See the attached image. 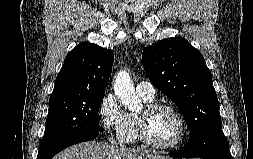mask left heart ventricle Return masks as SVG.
Segmentation results:
<instances>
[{
	"mask_svg": "<svg viewBox=\"0 0 253 159\" xmlns=\"http://www.w3.org/2000/svg\"><path fill=\"white\" fill-rule=\"evenodd\" d=\"M143 112L140 111L139 114ZM148 131L151 139L159 144H170L180 133L177 117L167 109H160L152 113L148 119Z\"/></svg>",
	"mask_w": 253,
	"mask_h": 159,
	"instance_id": "b2bd125f",
	"label": "left heart ventricle"
}]
</instances>
